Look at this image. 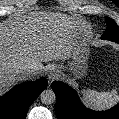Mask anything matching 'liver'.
Instances as JSON below:
<instances>
[{
  "label": "liver",
  "mask_w": 119,
  "mask_h": 119,
  "mask_svg": "<svg viewBox=\"0 0 119 119\" xmlns=\"http://www.w3.org/2000/svg\"><path fill=\"white\" fill-rule=\"evenodd\" d=\"M55 20L50 26L35 19L0 22V95L23 80V68L34 67L36 76L43 72L42 62L71 57L77 26L67 17Z\"/></svg>",
  "instance_id": "6515ba94"
}]
</instances>
